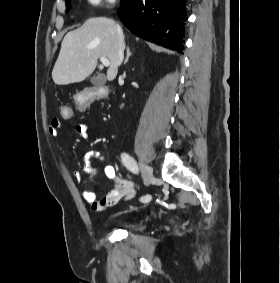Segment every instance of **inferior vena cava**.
<instances>
[{"instance_id":"602c4592","label":"inferior vena cava","mask_w":280,"mask_h":283,"mask_svg":"<svg viewBox=\"0 0 280 283\" xmlns=\"http://www.w3.org/2000/svg\"><path fill=\"white\" fill-rule=\"evenodd\" d=\"M117 32H118V63L120 65L124 57L125 43H124L123 32L119 25H117Z\"/></svg>"}]
</instances>
